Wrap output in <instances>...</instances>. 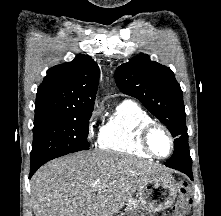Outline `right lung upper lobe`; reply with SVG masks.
Wrapping results in <instances>:
<instances>
[{
    "label": "right lung upper lobe",
    "mask_w": 221,
    "mask_h": 216,
    "mask_svg": "<svg viewBox=\"0 0 221 216\" xmlns=\"http://www.w3.org/2000/svg\"><path fill=\"white\" fill-rule=\"evenodd\" d=\"M99 74L96 62L82 54L50 68L37 90L34 122L93 110Z\"/></svg>",
    "instance_id": "obj_1"
}]
</instances>
